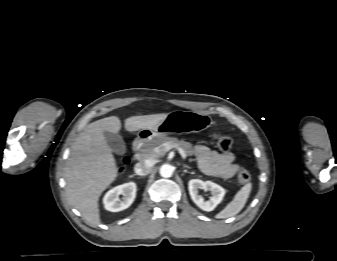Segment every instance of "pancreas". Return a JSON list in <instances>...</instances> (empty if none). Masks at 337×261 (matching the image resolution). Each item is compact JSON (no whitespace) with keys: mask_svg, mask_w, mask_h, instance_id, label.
I'll use <instances>...</instances> for the list:
<instances>
[{"mask_svg":"<svg viewBox=\"0 0 337 261\" xmlns=\"http://www.w3.org/2000/svg\"><path fill=\"white\" fill-rule=\"evenodd\" d=\"M164 143H170L172 145L181 147L184 151L186 156H192L193 155V146L191 143L186 142L184 140H178L177 138L173 137H157L155 139H152L150 141H146L140 148V153L145 158H158L165 154V152L162 150L161 145ZM158 148L156 151L155 149ZM192 161V159L190 160Z\"/></svg>","mask_w":337,"mask_h":261,"instance_id":"pancreas-1","label":"pancreas"}]
</instances>
